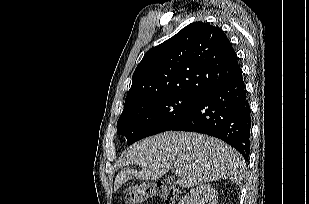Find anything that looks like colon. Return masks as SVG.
<instances>
[{
  "label": "colon",
  "mask_w": 309,
  "mask_h": 204,
  "mask_svg": "<svg viewBox=\"0 0 309 204\" xmlns=\"http://www.w3.org/2000/svg\"><path fill=\"white\" fill-rule=\"evenodd\" d=\"M179 191L163 181L143 182L128 188L125 199L127 204H142L149 199L159 197L167 204H173Z\"/></svg>",
  "instance_id": "5ec220e1"
}]
</instances>
